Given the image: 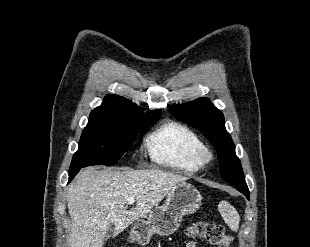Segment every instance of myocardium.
I'll list each match as a JSON object with an SVG mask.
<instances>
[{"label":"myocardium","mask_w":310,"mask_h":247,"mask_svg":"<svg viewBox=\"0 0 310 247\" xmlns=\"http://www.w3.org/2000/svg\"><path fill=\"white\" fill-rule=\"evenodd\" d=\"M197 160L201 165L211 162L213 160L212 151L207 147H203L197 154Z\"/></svg>","instance_id":"obj_1"}]
</instances>
